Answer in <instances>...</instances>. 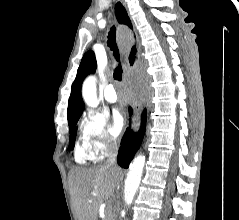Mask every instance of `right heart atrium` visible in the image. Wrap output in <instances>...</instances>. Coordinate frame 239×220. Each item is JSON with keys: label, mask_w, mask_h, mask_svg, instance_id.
Returning a JSON list of instances; mask_svg holds the SVG:
<instances>
[{"label": "right heart atrium", "mask_w": 239, "mask_h": 220, "mask_svg": "<svg viewBox=\"0 0 239 220\" xmlns=\"http://www.w3.org/2000/svg\"><path fill=\"white\" fill-rule=\"evenodd\" d=\"M81 140L94 159H100L114 150L115 139L107 131V117L93 109L83 113L80 124Z\"/></svg>", "instance_id": "d8ad5b80"}]
</instances>
